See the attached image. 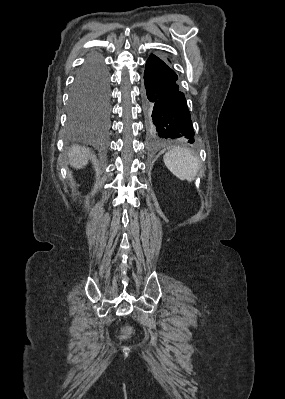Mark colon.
Wrapping results in <instances>:
<instances>
[{
  "instance_id": "colon-1",
  "label": "colon",
  "mask_w": 285,
  "mask_h": 399,
  "mask_svg": "<svg viewBox=\"0 0 285 399\" xmlns=\"http://www.w3.org/2000/svg\"><path fill=\"white\" fill-rule=\"evenodd\" d=\"M129 332H130L129 330H125V331H124L125 334H128Z\"/></svg>"
}]
</instances>
